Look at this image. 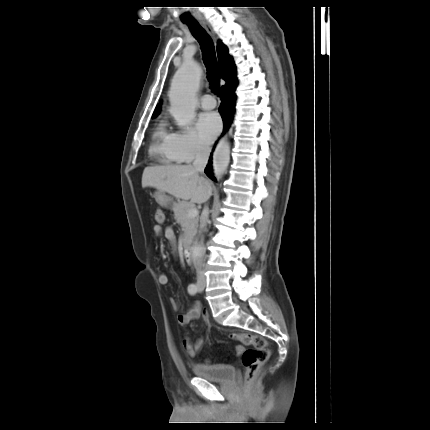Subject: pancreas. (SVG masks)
Wrapping results in <instances>:
<instances>
[{"label":"pancreas","mask_w":430,"mask_h":430,"mask_svg":"<svg viewBox=\"0 0 430 430\" xmlns=\"http://www.w3.org/2000/svg\"><path fill=\"white\" fill-rule=\"evenodd\" d=\"M191 208H193V205L184 201L174 203L173 205L176 222L181 226H185L183 242L191 240L197 232L199 217L198 215L188 217V211Z\"/></svg>","instance_id":"pancreas-1"}]
</instances>
